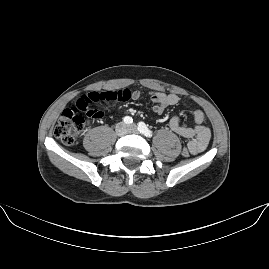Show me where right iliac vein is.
Listing matches in <instances>:
<instances>
[{"instance_id":"right-iliac-vein-1","label":"right iliac vein","mask_w":269,"mask_h":269,"mask_svg":"<svg viewBox=\"0 0 269 269\" xmlns=\"http://www.w3.org/2000/svg\"><path fill=\"white\" fill-rule=\"evenodd\" d=\"M127 133V126L125 123L121 122L116 125V134L118 136H124Z\"/></svg>"}]
</instances>
